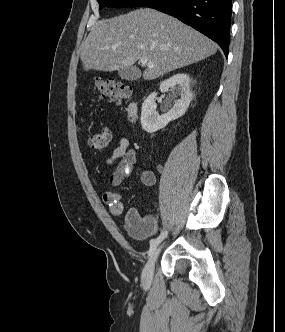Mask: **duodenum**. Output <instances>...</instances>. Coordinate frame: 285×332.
Masks as SVG:
<instances>
[{"label":"duodenum","mask_w":285,"mask_h":332,"mask_svg":"<svg viewBox=\"0 0 285 332\" xmlns=\"http://www.w3.org/2000/svg\"><path fill=\"white\" fill-rule=\"evenodd\" d=\"M138 112V106L135 102H131L127 107V117L129 120L134 121Z\"/></svg>","instance_id":"1"}]
</instances>
